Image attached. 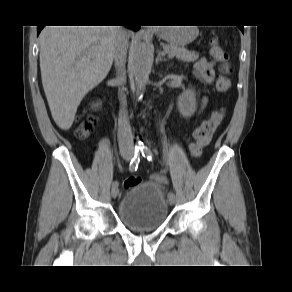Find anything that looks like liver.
<instances>
[{
	"mask_svg": "<svg viewBox=\"0 0 292 292\" xmlns=\"http://www.w3.org/2000/svg\"><path fill=\"white\" fill-rule=\"evenodd\" d=\"M119 26H46L39 35L44 92L55 123L68 130L84 96L111 69Z\"/></svg>",
	"mask_w": 292,
	"mask_h": 292,
	"instance_id": "liver-1",
	"label": "liver"
}]
</instances>
